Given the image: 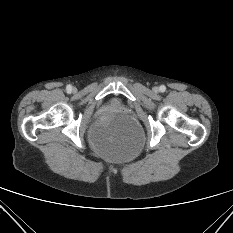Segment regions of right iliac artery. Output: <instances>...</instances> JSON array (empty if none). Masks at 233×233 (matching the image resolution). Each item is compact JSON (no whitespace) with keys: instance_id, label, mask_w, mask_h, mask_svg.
<instances>
[{"instance_id":"82829eb1","label":"right iliac artery","mask_w":233,"mask_h":233,"mask_svg":"<svg viewBox=\"0 0 233 233\" xmlns=\"http://www.w3.org/2000/svg\"><path fill=\"white\" fill-rule=\"evenodd\" d=\"M66 89H67L68 91H71V90H72V86H71V85H67Z\"/></svg>"}]
</instances>
